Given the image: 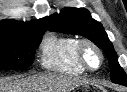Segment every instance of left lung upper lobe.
<instances>
[{
  "label": "left lung upper lobe",
  "instance_id": "obj_1",
  "mask_svg": "<svg viewBox=\"0 0 127 92\" xmlns=\"http://www.w3.org/2000/svg\"><path fill=\"white\" fill-rule=\"evenodd\" d=\"M49 30L77 34L91 40L99 48L103 49L107 55L112 82L127 86V75L119 66L112 43L108 39L103 26L91 18L87 9L64 8L59 14L51 15L49 17Z\"/></svg>",
  "mask_w": 127,
  "mask_h": 92
}]
</instances>
